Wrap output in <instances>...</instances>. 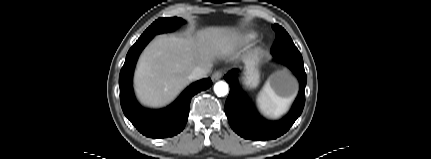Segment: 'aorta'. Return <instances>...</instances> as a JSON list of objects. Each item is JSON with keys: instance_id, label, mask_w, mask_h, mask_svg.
<instances>
[{"instance_id": "762f6f07", "label": "aorta", "mask_w": 431, "mask_h": 159, "mask_svg": "<svg viewBox=\"0 0 431 159\" xmlns=\"http://www.w3.org/2000/svg\"><path fill=\"white\" fill-rule=\"evenodd\" d=\"M214 92L217 96H225L228 93V84L224 81H219L214 85Z\"/></svg>"}]
</instances>
